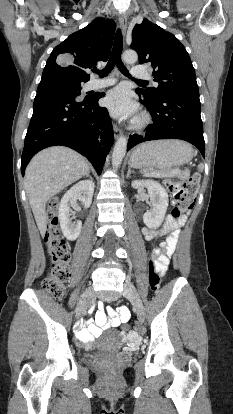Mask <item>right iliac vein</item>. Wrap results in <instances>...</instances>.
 <instances>
[{
	"mask_svg": "<svg viewBox=\"0 0 233 414\" xmlns=\"http://www.w3.org/2000/svg\"><path fill=\"white\" fill-rule=\"evenodd\" d=\"M95 294L92 288H87L82 294L79 303L76 308V317H81L87 310V308L93 303Z\"/></svg>",
	"mask_w": 233,
	"mask_h": 414,
	"instance_id": "63e3f726",
	"label": "right iliac vein"
}]
</instances>
